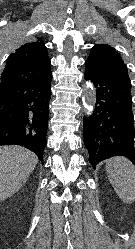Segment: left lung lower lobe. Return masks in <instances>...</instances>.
<instances>
[{
    "label": "left lung lower lobe",
    "instance_id": "0a47b994",
    "mask_svg": "<svg viewBox=\"0 0 135 249\" xmlns=\"http://www.w3.org/2000/svg\"><path fill=\"white\" fill-rule=\"evenodd\" d=\"M84 78L95 88L92 114L84 117V144L95 168L102 160L124 156L135 162L131 82L110 77L85 65Z\"/></svg>",
    "mask_w": 135,
    "mask_h": 249
}]
</instances>
